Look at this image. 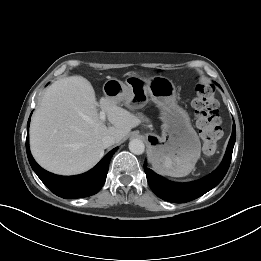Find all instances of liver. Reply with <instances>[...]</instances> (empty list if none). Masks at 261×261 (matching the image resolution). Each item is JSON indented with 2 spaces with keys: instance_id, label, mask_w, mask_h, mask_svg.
Instances as JSON below:
<instances>
[{
  "instance_id": "6515ba94",
  "label": "liver",
  "mask_w": 261,
  "mask_h": 261,
  "mask_svg": "<svg viewBox=\"0 0 261 261\" xmlns=\"http://www.w3.org/2000/svg\"><path fill=\"white\" fill-rule=\"evenodd\" d=\"M98 102L91 83L71 76L47 88L30 125V148L44 169L61 175L83 173L104 155L102 138L121 141L141 121L107 97L100 100L111 126L98 114Z\"/></svg>"
}]
</instances>
